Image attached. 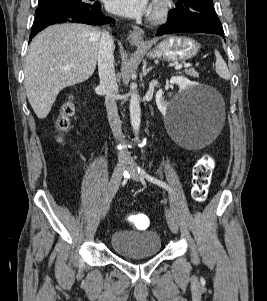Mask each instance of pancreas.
I'll return each instance as SVG.
<instances>
[{"mask_svg":"<svg viewBox=\"0 0 267 301\" xmlns=\"http://www.w3.org/2000/svg\"><path fill=\"white\" fill-rule=\"evenodd\" d=\"M185 73L191 77H194V78H198L199 77V74L197 71H195L194 69H189V70H186Z\"/></svg>","mask_w":267,"mask_h":301,"instance_id":"1","label":"pancreas"}]
</instances>
